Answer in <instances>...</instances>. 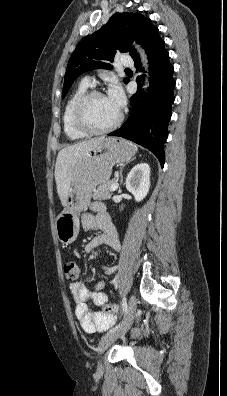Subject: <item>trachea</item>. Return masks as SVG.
Returning <instances> with one entry per match:
<instances>
[{
	"mask_svg": "<svg viewBox=\"0 0 227 396\" xmlns=\"http://www.w3.org/2000/svg\"><path fill=\"white\" fill-rule=\"evenodd\" d=\"M125 71H130V69L127 68V69H125Z\"/></svg>",
	"mask_w": 227,
	"mask_h": 396,
	"instance_id": "obj_1",
	"label": "trachea"
}]
</instances>
